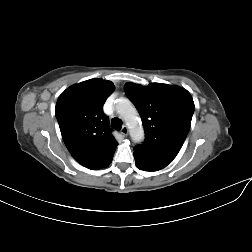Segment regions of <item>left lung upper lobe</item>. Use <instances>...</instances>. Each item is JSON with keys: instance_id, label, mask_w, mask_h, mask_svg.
I'll list each match as a JSON object with an SVG mask.
<instances>
[{"instance_id": "1", "label": "left lung upper lobe", "mask_w": 252, "mask_h": 252, "mask_svg": "<svg viewBox=\"0 0 252 252\" xmlns=\"http://www.w3.org/2000/svg\"><path fill=\"white\" fill-rule=\"evenodd\" d=\"M136 106L145 130V140L136 147L172 161L180 151L191 126L194 102L181 87L162 83L124 87Z\"/></svg>"}]
</instances>
